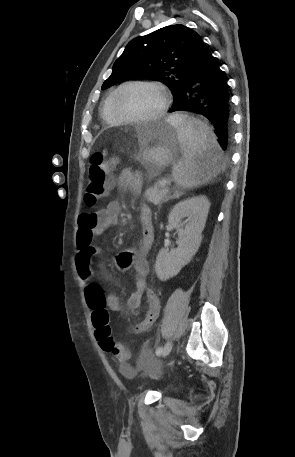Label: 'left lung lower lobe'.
<instances>
[{
  "label": "left lung lower lobe",
  "mask_w": 295,
  "mask_h": 457,
  "mask_svg": "<svg viewBox=\"0 0 295 457\" xmlns=\"http://www.w3.org/2000/svg\"><path fill=\"white\" fill-rule=\"evenodd\" d=\"M187 110L205 116L214 126L216 141L227 150L231 140L229 94L223 72L203 42L184 75L169 112Z\"/></svg>",
  "instance_id": "0a47b994"
}]
</instances>
